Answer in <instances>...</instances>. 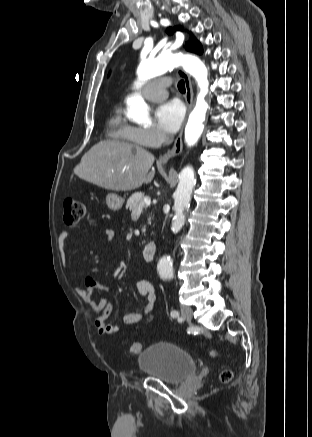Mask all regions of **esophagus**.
Wrapping results in <instances>:
<instances>
[{
	"mask_svg": "<svg viewBox=\"0 0 312 437\" xmlns=\"http://www.w3.org/2000/svg\"><path fill=\"white\" fill-rule=\"evenodd\" d=\"M178 75L184 80L185 82V89H186V93H185V102H186V106H187V115L189 114V112L192 109L193 106V88H192V83H191V79L190 76L182 69L178 70ZM183 131H184V123L181 127L180 133L178 135V137L176 138L174 145L172 147L171 150H168L165 154H163L162 156H160L159 158V162L162 164L167 163L171 158L179 155L182 151V136H183Z\"/></svg>",
	"mask_w": 312,
	"mask_h": 437,
	"instance_id": "esophagus-1",
	"label": "esophagus"
}]
</instances>
